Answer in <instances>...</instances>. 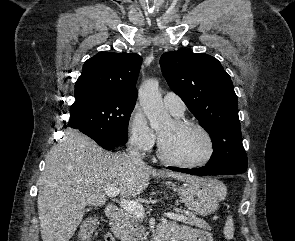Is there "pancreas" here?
I'll return each instance as SVG.
<instances>
[{"mask_svg": "<svg viewBox=\"0 0 295 241\" xmlns=\"http://www.w3.org/2000/svg\"><path fill=\"white\" fill-rule=\"evenodd\" d=\"M186 217L185 223L202 229L211 230L209 224L186 209H178ZM142 219L127 211H123L117 220L111 222V231L121 241H139L144 234Z\"/></svg>", "mask_w": 295, "mask_h": 241, "instance_id": "pancreas-1", "label": "pancreas"}]
</instances>
